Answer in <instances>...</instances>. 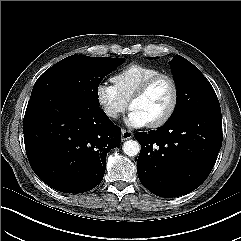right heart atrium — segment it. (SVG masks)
I'll list each match as a JSON object with an SVG mask.
<instances>
[{
	"label": "right heart atrium",
	"instance_id": "right-heart-atrium-1",
	"mask_svg": "<svg viewBox=\"0 0 241 241\" xmlns=\"http://www.w3.org/2000/svg\"><path fill=\"white\" fill-rule=\"evenodd\" d=\"M95 97L102 112L109 119H117L127 108V101L114 85L107 82H101L96 86Z\"/></svg>",
	"mask_w": 241,
	"mask_h": 241
}]
</instances>
